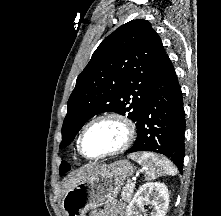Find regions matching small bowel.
Instances as JSON below:
<instances>
[{
    "label": "small bowel",
    "instance_id": "c3829d8e",
    "mask_svg": "<svg viewBox=\"0 0 221 216\" xmlns=\"http://www.w3.org/2000/svg\"><path fill=\"white\" fill-rule=\"evenodd\" d=\"M124 207L122 205H116L114 210L109 214V216H124ZM92 216H100L99 213H94Z\"/></svg>",
    "mask_w": 221,
    "mask_h": 216
}]
</instances>
